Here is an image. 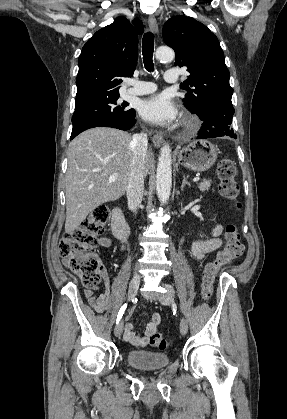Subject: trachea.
Wrapping results in <instances>:
<instances>
[{"mask_svg": "<svg viewBox=\"0 0 287 419\" xmlns=\"http://www.w3.org/2000/svg\"><path fill=\"white\" fill-rule=\"evenodd\" d=\"M153 51H154V35L151 32H147L142 41V53L144 65L147 71H154L153 64Z\"/></svg>", "mask_w": 287, "mask_h": 419, "instance_id": "obj_1", "label": "trachea"}]
</instances>
